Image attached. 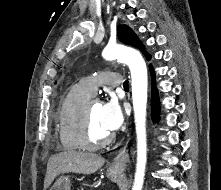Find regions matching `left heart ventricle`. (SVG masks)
I'll return each instance as SVG.
<instances>
[{"label": "left heart ventricle", "mask_w": 221, "mask_h": 190, "mask_svg": "<svg viewBox=\"0 0 221 190\" xmlns=\"http://www.w3.org/2000/svg\"><path fill=\"white\" fill-rule=\"evenodd\" d=\"M101 109L102 105L99 102H94L91 106V124L92 134L95 139H103L110 134L107 131L101 121Z\"/></svg>", "instance_id": "b2bd125f"}]
</instances>
